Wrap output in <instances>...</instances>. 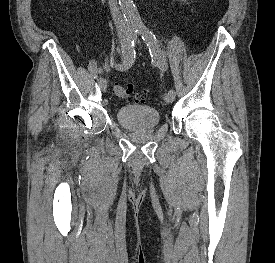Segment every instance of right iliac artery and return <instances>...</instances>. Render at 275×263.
Here are the masks:
<instances>
[{
  "label": "right iliac artery",
  "mask_w": 275,
  "mask_h": 263,
  "mask_svg": "<svg viewBox=\"0 0 275 263\" xmlns=\"http://www.w3.org/2000/svg\"><path fill=\"white\" fill-rule=\"evenodd\" d=\"M132 36L127 40L126 44L122 45V63L118 65L119 70H128L135 60V38L137 29H133L131 32ZM88 69L94 78L98 77V69L95 60L90 61Z\"/></svg>",
  "instance_id": "1"
}]
</instances>
